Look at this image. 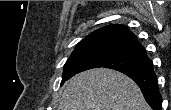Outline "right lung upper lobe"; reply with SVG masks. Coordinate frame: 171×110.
I'll list each match as a JSON object with an SVG mask.
<instances>
[{"mask_svg":"<svg viewBox=\"0 0 171 110\" xmlns=\"http://www.w3.org/2000/svg\"><path fill=\"white\" fill-rule=\"evenodd\" d=\"M89 43H103L121 46L146 55L144 47L137 41L135 35L123 25L111 24L100 28L89 34L78 44V46Z\"/></svg>","mask_w":171,"mask_h":110,"instance_id":"cb5924a9","label":"right lung upper lobe"}]
</instances>
